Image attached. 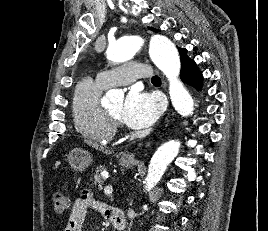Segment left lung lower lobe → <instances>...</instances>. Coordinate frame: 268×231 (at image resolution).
<instances>
[{"instance_id":"0a47b994","label":"left lung lower lobe","mask_w":268,"mask_h":231,"mask_svg":"<svg viewBox=\"0 0 268 231\" xmlns=\"http://www.w3.org/2000/svg\"><path fill=\"white\" fill-rule=\"evenodd\" d=\"M180 77L185 83L194 86L197 90L201 88L203 76L191 58H186L181 63Z\"/></svg>"}]
</instances>
